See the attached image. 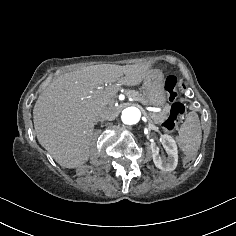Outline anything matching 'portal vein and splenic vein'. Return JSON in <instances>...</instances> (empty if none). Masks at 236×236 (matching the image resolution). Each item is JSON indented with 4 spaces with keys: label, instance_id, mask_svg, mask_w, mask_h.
<instances>
[{
    "label": "portal vein and splenic vein",
    "instance_id": "1",
    "mask_svg": "<svg viewBox=\"0 0 236 236\" xmlns=\"http://www.w3.org/2000/svg\"><path fill=\"white\" fill-rule=\"evenodd\" d=\"M151 111L157 112V111H156V108H154V107H151Z\"/></svg>",
    "mask_w": 236,
    "mask_h": 236
}]
</instances>
